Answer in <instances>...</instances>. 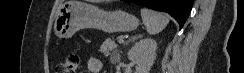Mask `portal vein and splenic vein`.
<instances>
[{"mask_svg":"<svg viewBox=\"0 0 244 73\" xmlns=\"http://www.w3.org/2000/svg\"><path fill=\"white\" fill-rule=\"evenodd\" d=\"M118 42L119 43H124V40L123 39H119Z\"/></svg>","mask_w":244,"mask_h":73,"instance_id":"1","label":"portal vein and splenic vein"}]
</instances>
